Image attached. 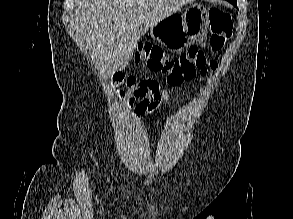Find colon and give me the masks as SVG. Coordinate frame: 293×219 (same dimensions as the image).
<instances>
[{"label":"colon","mask_w":293,"mask_h":219,"mask_svg":"<svg viewBox=\"0 0 293 219\" xmlns=\"http://www.w3.org/2000/svg\"><path fill=\"white\" fill-rule=\"evenodd\" d=\"M208 15L211 47L220 50L232 33L231 15L221 7H212ZM135 59L144 62L153 71L165 73L167 83L173 87L191 80L198 74L205 75L209 69L215 70L218 66L216 61H208L204 53L195 47L170 57L160 46L143 44L138 48ZM113 81L116 85H124L130 89H135L139 85L133 76L126 77L121 72L114 74ZM119 92L122 94L123 90Z\"/></svg>","instance_id":"obj_1"}]
</instances>
